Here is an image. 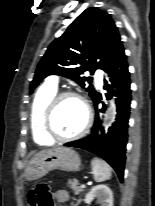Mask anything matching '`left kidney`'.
<instances>
[{
    "mask_svg": "<svg viewBox=\"0 0 155 206\" xmlns=\"http://www.w3.org/2000/svg\"><path fill=\"white\" fill-rule=\"evenodd\" d=\"M95 198L101 202V206H113V193L104 184L94 186L85 196V203H91Z\"/></svg>",
    "mask_w": 155,
    "mask_h": 206,
    "instance_id": "obj_1",
    "label": "left kidney"
}]
</instances>
